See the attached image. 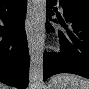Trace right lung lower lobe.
<instances>
[{
    "label": "right lung lower lobe",
    "mask_w": 89,
    "mask_h": 89,
    "mask_svg": "<svg viewBox=\"0 0 89 89\" xmlns=\"http://www.w3.org/2000/svg\"><path fill=\"white\" fill-rule=\"evenodd\" d=\"M27 0H0V82L25 89L29 52L24 28Z\"/></svg>",
    "instance_id": "obj_1"
}]
</instances>
